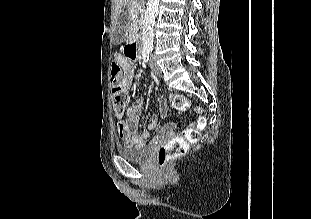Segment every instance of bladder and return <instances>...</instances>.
Returning <instances> with one entry per match:
<instances>
[{
  "label": "bladder",
  "mask_w": 311,
  "mask_h": 219,
  "mask_svg": "<svg viewBox=\"0 0 311 219\" xmlns=\"http://www.w3.org/2000/svg\"><path fill=\"white\" fill-rule=\"evenodd\" d=\"M116 150L122 158L130 161H143L148 157L150 153V149L147 146L141 147L118 146Z\"/></svg>",
  "instance_id": "obj_1"
}]
</instances>
